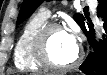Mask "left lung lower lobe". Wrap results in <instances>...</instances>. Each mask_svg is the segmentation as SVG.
<instances>
[{"instance_id":"left-lung-lower-lobe-1","label":"left lung lower lobe","mask_w":107,"mask_h":75,"mask_svg":"<svg viewBox=\"0 0 107 75\" xmlns=\"http://www.w3.org/2000/svg\"><path fill=\"white\" fill-rule=\"evenodd\" d=\"M98 15L102 13L104 18V29L107 33V1L98 0ZM86 34L89 43L94 46L93 24H85L81 27ZM95 53L89 54L87 59L79 67L86 75H107V36L95 48Z\"/></svg>"}]
</instances>
